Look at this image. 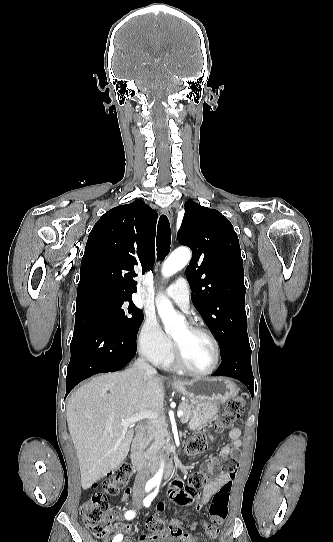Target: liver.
<instances>
[{
  "instance_id": "1",
  "label": "liver",
  "mask_w": 333,
  "mask_h": 542,
  "mask_svg": "<svg viewBox=\"0 0 333 542\" xmlns=\"http://www.w3.org/2000/svg\"><path fill=\"white\" fill-rule=\"evenodd\" d=\"M163 378L137 368L101 374L78 388L66 406L68 430L77 452L83 490L125 460L134 436L133 424L121 426L138 412L163 410ZM109 392V394H107Z\"/></svg>"
}]
</instances>
